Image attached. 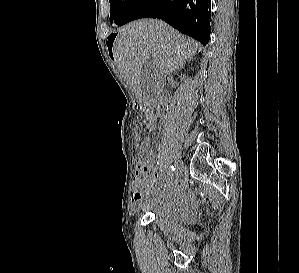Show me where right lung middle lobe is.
<instances>
[{"label":"right lung middle lobe","mask_w":299,"mask_h":273,"mask_svg":"<svg viewBox=\"0 0 299 273\" xmlns=\"http://www.w3.org/2000/svg\"><path fill=\"white\" fill-rule=\"evenodd\" d=\"M134 1L135 0H109L111 6L110 20L119 24Z\"/></svg>","instance_id":"1"}]
</instances>
